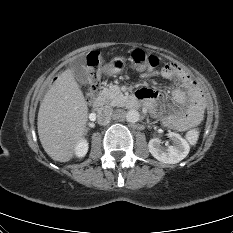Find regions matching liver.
Instances as JSON below:
<instances>
[{
  "label": "liver",
  "instance_id": "obj_1",
  "mask_svg": "<svg viewBox=\"0 0 233 233\" xmlns=\"http://www.w3.org/2000/svg\"><path fill=\"white\" fill-rule=\"evenodd\" d=\"M38 135L45 152L55 161L68 162L76 144L87 133V102L72 69L63 71L40 105Z\"/></svg>",
  "mask_w": 233,
  "mask_h": 233
}]
</instances>
